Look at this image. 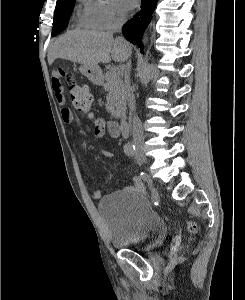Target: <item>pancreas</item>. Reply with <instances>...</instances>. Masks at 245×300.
I'll return each instance as SVG.
<instances>
[{
	"label": "pancreas",
	"instance_id": "cf45deb5",
	"mask_svg": "<svg viewBox=\"0 0 245 300\" xmlns=\"http://www.w3.org/2000/svg\"><path fill=\"white\" fill-rule=\"evenodd\" d=\"M121 77L122 70H110L104 76L107 81L104 89L108 91L106 109L113 117H120L126 111V93Z\"/></svg>",
	"mask_w": 245,
	"mask_h": 300
}]
</instances>
